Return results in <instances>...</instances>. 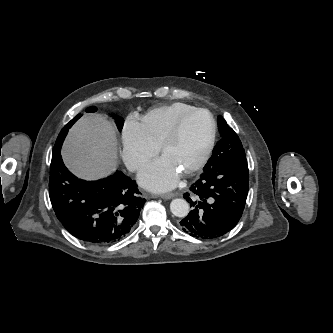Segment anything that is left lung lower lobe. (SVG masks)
<instances>
[{"mask_svg":"<svg viewBox=\"0 0 333 333\" xmlns=\"http://www.w3.org/2000/svg\"><path fill=\"white\" fill-rule=\"evenodd\" d=\"M246 158L203 171L184 198L192 210L181 228L193 237L213 239L225 235L239 222L248 195Z\"/></svg>","mask_w":333,"mask_h":333,"instance_id":"left-lung-lower-lobe-1","label":"left lung lower lobe"}]
</instances>
